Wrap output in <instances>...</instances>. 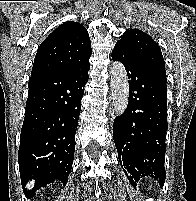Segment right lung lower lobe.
Masks as SVG:
<instances>
[{"label": "right lung lower lobe", "instance_id": "1", "mask_svg": "<svg viewBox=\"0 0 196 201\" xmlns=\"http://www.w3.org/2000/svg\"><path fill=\"white\" fill-rule=\"evenodd\" d=\"M89 69L90 64L29 79L18 153L22 184L35 180L33 189L25 190L28 198L54 181H68Z\"/></svg>", "mask_w": 196, "mask_h": 201}]
</instances>
